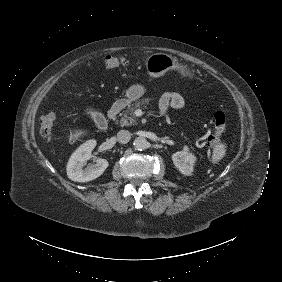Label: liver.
Segmentation results:
<instances>
[{
	"label": "liver",
	"mask_w": 282,
	"mask_h": 282,
	"mask_svg": "<svg viewBox=\"0 0 282 282\" xmlns=\"http://www.w3.org/2000/svg\"><path fill=\"white\" fill-rule=\"evenodd\" d=\"M82 134H83L82 131H76L74 134L70 135V141L77 139ZM47 141L50 142L51 141V137H48Z\"/></svg>",
	"instance_id": "liver-1"
}]
</instances>
